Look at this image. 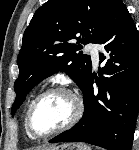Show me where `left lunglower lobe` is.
<instances>
[{
	"instance_id": "0a47b994",
	"label": "left lung lower lobe",
	"mask_w": 139,
	"mask_h": 150,
	"mask_svg": "<svg viewBox=\"0 0 139 150\" xmlns=\"http://www.w3.org/2000/svg\"><path fill=\"white\" fill-rule=\"evenodd\" d=\"M98 44L99 85L93 91L94 76L85 87V110L80 122L49 142H85L108 150H131L139 111V36L136 26L120 0L113 5L111 16ZM100 81V83L98 82Z\"/></svg>"
}]
</instances>
